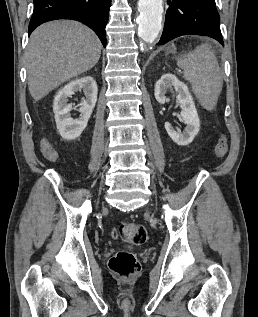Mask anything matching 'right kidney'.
Returning a JSON list of instances; mask_svg holds the SVG:
<instances>
[{"label":"right kidney","mask_w":258,"mask_h":317,"mask_svg":"<svg viewBox=\"0 0 258 317\" xmlns=\"http://www.w3.org/2000/svg\"><path fill=\"white\" fill-rule=\"evenodd\" d=\"M81 88L86 98L78 104L80 106L79 118H72L70 110L74 106L67 104L68 96L74 94L76 90H81ZM97 94L98 88L93 76L75 78V80H71V82L65 84L61 90H58L53 102V112L58 132H60L62 138L73 140V138L80 136L93 112Z\"/></svg>","instance_id":"obj_1"}]
</instances>
